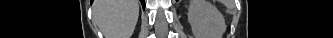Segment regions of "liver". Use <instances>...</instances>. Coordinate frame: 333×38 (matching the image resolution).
<instances>
[{
    "instance_id": "obj_1",
    "label": "liver",
    "mask_w": 333,
    "mask_h": 38,
    "mask_svg": "<svg viewBox=\"0 0 333 38\" xmlns=\"http://www.w3.org/2000/svg\"><path fill=\"white\" fill-rule=\"evenodd\" d=\"M139 16L138 0H95L93 17L106 38H130Z\"/></svg>"
}]
</instances>
